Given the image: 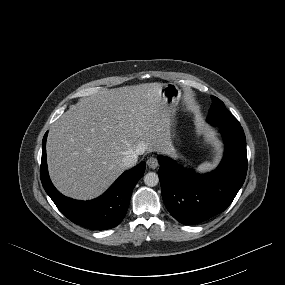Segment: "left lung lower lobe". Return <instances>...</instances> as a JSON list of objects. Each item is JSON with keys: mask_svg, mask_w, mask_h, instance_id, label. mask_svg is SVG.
I'll use <instances>...</instances> for the list:
<instances>
[{"mask_svg": "<svg viewBox=\"0 0 285 285\" xmlns=\"http://www.w3.org/2000/svg\"><path fill=\"white\" fill-rule=\"evenodd\" d=\"M225 154L216 170L196 174L160 156L158 176L162 198L179 222L201 223L223 212L232 203L247 173L246 138L241 125L220 126Z\"/></svg>", "mask_w": 285, "mask_h": 285, "instance_id": "obj_1", "label": "left lung lower lobe"}]
</instances>
